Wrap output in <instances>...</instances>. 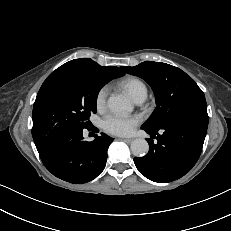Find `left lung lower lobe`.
<instances>
[{
	"label": "left lung lower lobe",
	"mask_w": 231,
	"mask_h": 231,
	"mask_svg": "<svg viewBox=\"0 0 231 231\" xmlns=\"http://www.w3.org/2000/svg\"><path fill=\"white\" fill-rule=\"evenodd\" d=\"M208 114H187L157 127L141 126L152 139H148L149 152L144 157H135L134 163L148 179L166 183L188 173L202 151L207 132Z\"/></svg>",
	"instance_id": "obj_1"
}]
</instances>
